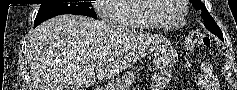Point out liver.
<instances>
[{"label":"liver","mask_w":237,"mask_h":90,"mask_svg":"<svg viewBox=\"0 0 237 90\" xmlns=\"http://www.w3.org/2000/svg\"><path fill=\"white\" fill-rule=\"evenodd\" d=\"M152 38L84 16H56L32 32L27 60L32 90H86L144 58Z\"/></svg>","instance_id":"1"}]
</instances>
